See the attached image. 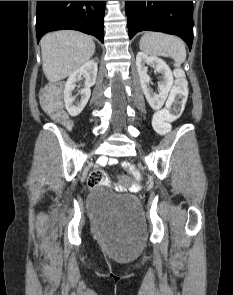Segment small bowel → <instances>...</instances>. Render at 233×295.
I'll return each mask as SVG.
<instances>
[{"mask_svg":"<svg viewBox=\"0 0 233 295\" xmlns=\"http://www.w3.org/2000/svg\"><path fill=\"white\" fill-rule=\"evenodd\" d=\"M108 163L109 164H116L117 163V160L114 159V158H111V159L108 160ZM117 191L124 192L125 191V188L123 186H118L117 187Z\"/></svg>","mask_w":233,"mask_h":295,"instance_id":"1","label":"small bowel"}]
</instances>
